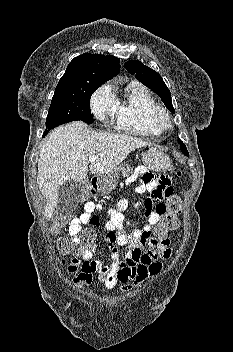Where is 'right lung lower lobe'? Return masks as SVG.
Instances as JSON below:
<instances>
[{"instance_id":"1","label":"right lung lower lobe","mask_w":233,"mask_h":352,"mask_svg":"<svg viewBox=\"0 0 233 352\" xmlns=\"http://www.w3.org/2000/svg\"><path fill=\"white\" fill-rule=\"evenodd\" d=\"M47 133H48V132H45V133L43 134V137H44L45 135H47Z\"/></svg>"}]
</instances>
